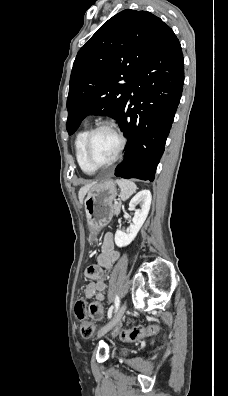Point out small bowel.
I'll list each match as a JSON object with an SVG mask.
<instances>
[{
	"label": "small bowel",
	"mask_w": 228,
	"mask_h": 396,
	"mask_svg": "<svg viewBox=\"0 0 228 396\" xmlns=\"http://www.w3.org/2000/svg\"><path fill=\"white\" fill-rule=\"evenodd\" d=\"M119 257L114 247V239L111 233H106L103 237L102 247L95 257V262L85 270V277L92 280L85 289V296L88 299H95L103 302L106 299L104 281L105 270H110Z\"/></svg>",
	"instance_id": "c3829d8e"
}]
</instances>
